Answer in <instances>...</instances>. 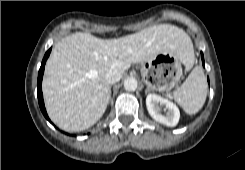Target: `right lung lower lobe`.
Wrapping results in <instances>:
<instances>
[{
  "label": "right lung lower lobe",
  "mask_w": 245,
  "mask_h": 170,
  "mask_svg": "<svg viewBox=\"0 0 245 170\" xmlns=\"http://www.w3.org/2000/svg\"><path fill=\"white\" fill-rule=\"evenodd\" d=\"M50 52H51V49H49L44 58H43V61H42V64H41V67H40V70H39V73H38V82H37V88H38V102H39V106H40V109L43 113V115L45 116V118L47 120H49L48 118V115L46 113V109H45V106H44V101H43V95H42V88H41V85H42V78H43V73H44V67H45V63H46V60L47 58L49 57L50 55ZM50 121V120H49Z\"/></svg>",
  "instance_id": "1"
}]
</instances>
